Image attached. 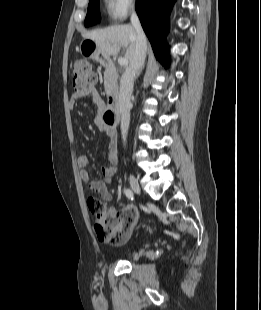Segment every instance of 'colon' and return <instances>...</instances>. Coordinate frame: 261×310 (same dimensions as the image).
<instances>
[{
    "mask_svg": "<svg viewBox=\"0 0 261 310\" xmlns=\"http://www.w3.org/2000/svg\"><path fill=\"white\" fill-rule=\"evenodd\" d=\"M72 73L73 88L77 92L92 87L96 81V74L85 59H76L72 63ZM87 204L94 215V227L99 240L112 245L123 244L137 219V205L131 202L126 205V208H122V211L110 216L100 200L91 197Z\"/></svg>",
    "mask_w": 261,
    "mask_h": 310,
    "instance_id": "obj_1",
    "label": "colon"
}]
</instances>
